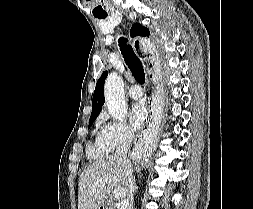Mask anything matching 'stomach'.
I'll list each match as a JSON object with an SVG mask.
<instances>
[{
    "label": "stomach",
    "instance_id": "1",
    "mask_svg": "<svg viewBox=\"0 0 253 209\" xmlns=\"http://www.w3.org/2000/svg\"><path fill=\"white\" fill-rule=\"evenodd\" d=\"M98 209H110L109 203H105V204L100 205Z\"/></svg>",
    "mask_w": 253,
    "mask_h": 209
}]
</instances>
